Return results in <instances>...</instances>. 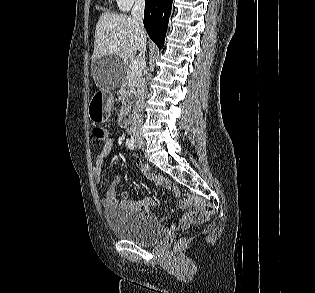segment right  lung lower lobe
I'll return each mask as SVG.
<instances>
[{
  "label": "right lung lower lobe",
  "instance_id": "right-lung-lower-lobe-1",
  "mask_svg": "<svg viewBox=\"0 0 315 293\" xmlns=\"http://www.w3.org/2000/svg\"><path fill=\"white\" fill-rule=\"evenodd\" d=\"M172 0H145L144 26L155 44L164 45Z\"/></svg>",
  "mask_w": 315,
  "mask_h": 293
}]
</instances>
